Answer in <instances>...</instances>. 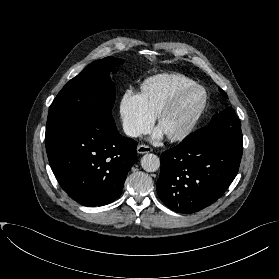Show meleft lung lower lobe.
<instances>
[{
	"instance_id": "obj_1",
	"label": "left lung lower lobe",
	"mask_w": 279,
	"mask_h": 279,
	"mask_svg": "<svg viewBox=\"0 0 279 279\" xmlns=\"http://www.w3.org/2000/svg\"><path fill=\"white\" fill-rule=\"evenodd\" d=\"M242 146L220 140L182 141L161 155L159 198L171 210L193 213L223 195L238 173Z\"/></svg>"
}]
</instances>
